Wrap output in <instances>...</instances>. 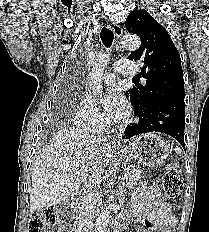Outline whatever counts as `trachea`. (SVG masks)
<instances>
[{"label":"trachea","instance_id":"3493384b","mask_svg":"<svg viewBox=\"0 0 209 232\" xmlns=\"http://www.w3.org/2000/svg\"><path fill=\"white\" fill-rule=\"evenodd\" d=\"M101 41L107 48L111 47L114 39V34L111 29L103 27L100 33ZM135 79V78H134Z\"/></svg>","mask_w":209,"mask_h":232}]
</instances>
